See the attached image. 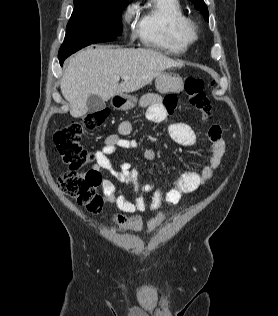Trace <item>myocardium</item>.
<instances>
[{
    "label": "myocardium",
    "mask_w": 278,
    "mask_h": 316,
    "mask_svg": "<svg viewBox=\"0 0 278 316\" xmlns=\"http://www.w3.org/2000/svg\"><path fill=\"white\" fill-rule=\"evenodd\" d=\"M185 30L192 42L198 38V27L193 21L187 20Z\"/></svg>",
    "instance_id": "myocardium-1"
}]
</instances>
